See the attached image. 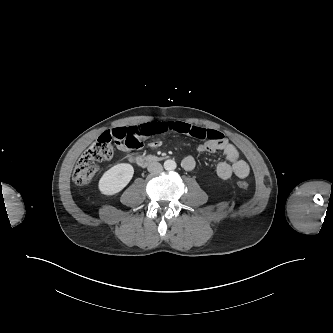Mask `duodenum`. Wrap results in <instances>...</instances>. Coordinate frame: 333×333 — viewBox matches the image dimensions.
Instances as JSON below:
<instances>
[{
	"instance_id": "duodenum-1",
	"label": "duodenum",
	"mask_w": 333,
	"mask_h": 333,
	"mask_svg": "<svg viewBox=\"0 0 333 333\" xmlns=\"http://www.w3.org/2000/svg\"><path fill=\"white\" fill-rule=\"evenodd\" d=\"M128 159L131 162H135L136 164H138L139 166L145 167L147 165H150L152 163H155L157 161H159L161 158L159 156H155V155H130L128 157Z\"/></svg>"
}]
</instances>
